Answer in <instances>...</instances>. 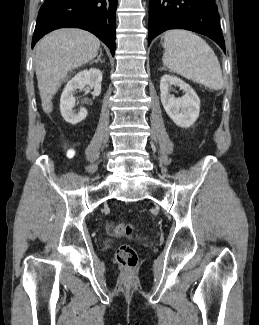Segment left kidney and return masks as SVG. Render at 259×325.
Wrapping results in <instances>:
<instances>
[{
  "mask_svg": "<svg viewBox=\"0 0 259 325\" xmlns=\"http://www.w3.org/2000/svg\"><path fill=\"white\" fill-rule=\"evenodd\" d=\"M172 85L180 87L185 94L175 98L170 94ZM161 103L167 115L181 128H189L199 117L200 99L190 85L171 75H164L160 81Z\"/></svg>",
  "mask_w": 259,
  "mask_h": 325,
  "instance_id": "obj_1",
  "label": "left kidney"
}]
</instances>
